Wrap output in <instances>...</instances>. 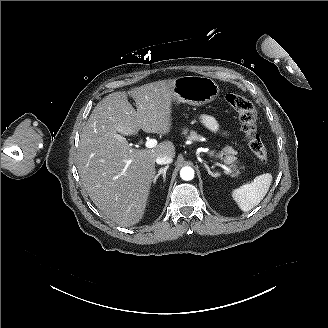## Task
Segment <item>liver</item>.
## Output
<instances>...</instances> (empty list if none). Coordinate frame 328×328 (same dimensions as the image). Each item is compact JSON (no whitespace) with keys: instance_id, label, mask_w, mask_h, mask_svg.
I'll list each match as a JSON object with an SVG mask.
<instances>
[{"instance_id":"1","label":"liver","mask_w":328,"mask_h":328,"mask_svg":"<svg viewBox=\"0 0 328 328\" xmlns=\"http://www.w3.org/2000/svg\"><path fill=\"white\" fill-rule=\"evenodd\" d=\"M174 80H161L125 92L111 93L92 111L80 135L78 171L89 197L99 210L122 227L143 217L156 158L175 157L171 141L152 149H134L124 136L167 134L171 127Z\"/></svg>"}]
</instances>
